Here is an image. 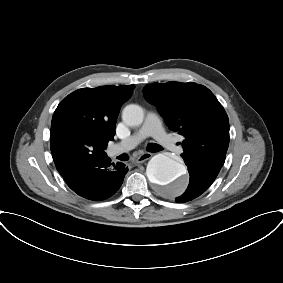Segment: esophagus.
Instances as JSON below:
<instances>
[{
    "label": "esophagus",
    "instance_id": "1",
    "mask_svg": "<svg viewBox=\"0 0 283 283\" xmlns=\"http://www.w3.org/2000/svg\"><path fill=\"white\" fill-rule=\"evenodd\" d=\"M151 157H152L151 153L144 152L137 157L136 163H143V162L149 160Z\"/></svg>",
    "mask_w": 283,
    "mask_h": 283
}]
</instances>
